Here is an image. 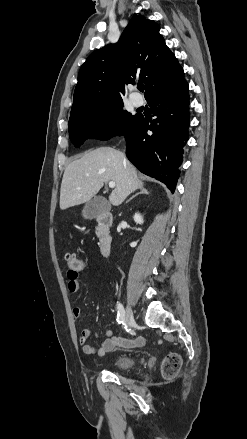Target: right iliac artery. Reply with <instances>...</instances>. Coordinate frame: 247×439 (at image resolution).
Segmentation results:
<instances>
[{"label":"right iliac artery","instance_id":"82829eb1","mask_svg":"<svg viewBox=\"0 0 247 439\" xmlns=\"http://www.w3.org/2000/svg\"><path fill=\"white\" fill-rule=\"evenodd\" d=\"M117 310H118V314H117V323L121 324L123 323L124 319H125V310L124 307L121 303H117Z\"/></svg>","mask_w":247,"mask_h":439}]
</instances>
